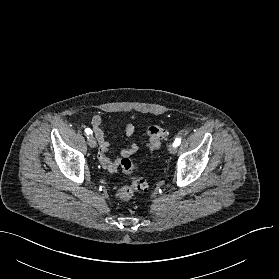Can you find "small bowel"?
Here are the masks:
<instances>
[{"mask_svg":"<svg viewBox=\"0 0 279 279\" xmlns=\"http://www.w3.org/2000/svg\"><path fill=\"white\" fill-rule=\"evenodd\" d=\"M91 126L99 143L98 158L103 166L109 172H116L120 166V158H111L109 156L110 144L107 141L106 134L103 128V120L99 114H96L91 119ZM123 130L127 137H132L135 134V126L128 120L123 122ZM138 147L134 143L127 144L119 152L121 158H126L133 155Z\"/></svg>","mask_w":279,"mask_h":279,"instance_id":"small-bowel-1","label":"small bowel"}]
</instances>
